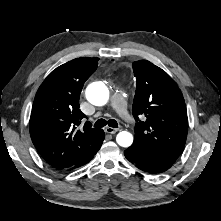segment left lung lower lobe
Masks as SVG:
<instances>
[{
    "label": "left lung lower lobe",
    "mask_w": 221,
    "mask_h": 221,
    "mask_svg": "<svg viewBox=\"0 0 221 221\" xmlns=\"http://www.w3.org/2000/svg\"><path fill=\"white\" fill-rule=\"evenodd\" d=\"M125 157L138 169L158 174L168 170L173 163L140 145L132 144L124 151Z\"/></svg>",
    "instance_id": "left-lung-lower-lobe-1"
}]
</instances>
